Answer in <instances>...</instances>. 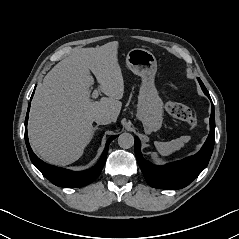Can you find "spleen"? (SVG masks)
<instances>
[{
	"label": "spleen",
	"mask_w": 239,
	"mask_h": 239,
	"mask_svg": "<svg viewBox=\"0 0 239 239\" xmlns=\"http://www.w3.org/2000/svg\"><path fill=\"white\" fill-rule=\"evenodd\" d=\"M189 140L190 136H182L178 139H174L168 142L157 141L155 142V146L162 156H168L173 152L180 150Z\"/></svg>",
	"instance_id": "spleen-1"
}]
</instances>
